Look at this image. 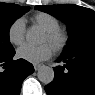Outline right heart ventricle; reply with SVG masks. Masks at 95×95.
Here are the masks:
<instances>
[{
  "instance_id": "obj_1",
  "label": "right heart ventricle",
  "mask_w": 95,
  "mask_h": 95,
  "mask_svg": "<svg viewBox=\"0 0 95 95\" xmlns=\"http://www.w3.org/2000/svg\"><path fill=\"white\" fill-rule=\"evenodd\" d=\"M34 22L39 25L44 31H50L59 28L60 24L54 16L39 12L33 17Z\"/></svg>"
}]
</instances>
